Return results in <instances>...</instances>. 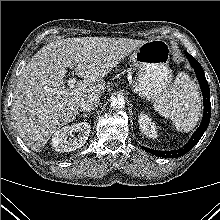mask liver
<instances>
[{
	"label": "liver",
	"mask_w": 220,
	"mask_h": 220,
	"mask_svg": "<svg viewBox=\"0 0 220 220\" xmlns=\"http://www.w3.org/2000/svg\"><path fill=\"white\" fill-rule=\"evenodd\" d=\"M145 41L81 37L56 40L42 47L24 67L16 85L12 116L18 134L39 152L51 135L79 114L81 100L104 93V77ZM67 68L83 80L58 96Z\"/></svg>",
	"instance_id": "1"
}]
</instances>
